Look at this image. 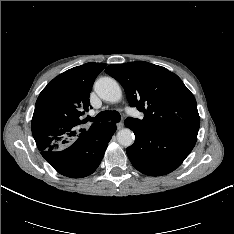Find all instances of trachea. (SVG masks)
<instances>
[{"instance_id": "1", "label": "trachea", "mask_w": 234, "mask_h": 234, "mask_svg": "<svg viewBox=\"0 0 234 234\" xmlns=\"http://www.w3.org/2000/svg\"><path fill=\"white\" fill-rule=\"evenodd\" d=\"M91 122H106V121H113L119 122L121 120V115L117 111H102L96 117L88 118Z\"/></svg>"}]
</instances>
